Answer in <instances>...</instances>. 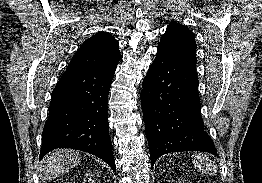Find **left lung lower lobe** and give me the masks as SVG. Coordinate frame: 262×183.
I'll list each match as a JSON object with an SVG mask.
<instances>
[{
    "mask_svg": "<svg viewBox=\"0 0 262 183\" xmlns=\"http://www.w3.org/2000/svg\"><path fill=\"white\" fill-rule=\"evenodd\" d=\"M198 84L196 65L157 51L140 95L151 167L171 152L204 151L218 157L204 128Z\"/></svg>",
    "mask_w": 262,
    "mask_h": 183,
    "instance_id": "left-lung-lower-lobe-1",
    "label": "left lung lower lobe"
}]
</instances>
